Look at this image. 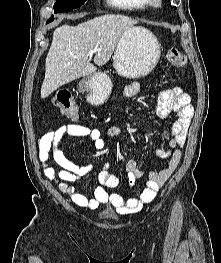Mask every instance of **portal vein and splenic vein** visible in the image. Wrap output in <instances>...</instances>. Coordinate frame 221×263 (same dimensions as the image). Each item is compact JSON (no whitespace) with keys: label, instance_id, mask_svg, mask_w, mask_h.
<instances>
[{"label":"portal vein and splenic vein","instance_id":"portal-vein-and-splenic-vein-1","mask_svg":"<svg viewBox=\"0 0 221 263\" xmlns=\"http://www.w3.org/2000/svg\"><path fill=\"white\" fill-rule=\"evenodd\" d=\"M94 52H95V50H90L88 53V56H92Z\"/></svg>","mask_w":221,"mask_h":263}]
</instances>
